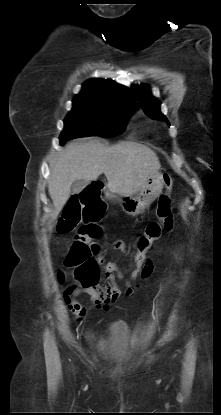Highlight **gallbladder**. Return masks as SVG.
<instances>
[{"label":"gallbladder","instance_id":"bac80fb5","mask_svg":"<svg viewBox=\"0 0 221 415\" xmlns=\"http://www.w3.org/2000/svg\"><path fill=\"white\" fill-rule=\"evenodd\" d=\"M88 185V181L80 179L76 180L71 185V191L73 193H79L81 192L86 186Z\"/></svg>","mask_w":221,"mask_h":415}]
</instances>
